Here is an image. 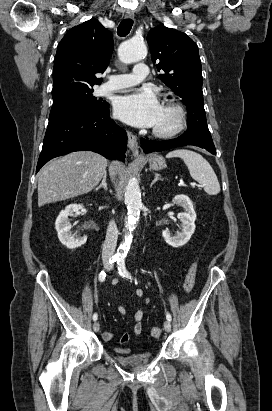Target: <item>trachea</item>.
I'll use <instances>...</instances> for the list:
<instances>
[{"instance_id":"1","label":"trachea","mask_w":272,"mask_h":411,"mask_svg":"<svg viewBox=\"0 0 272 411\" xmlns=\"http://www.w3.org/2000/svg\"><path fill=\"white\" fill-rule=\"evenodd\" d=\"M132 26H133V20L132 19L127 18V19L122 20L121 23L118 26L117 34L120 37H125L126 35L129 34Z\"/></svg>"}]
</instances>
